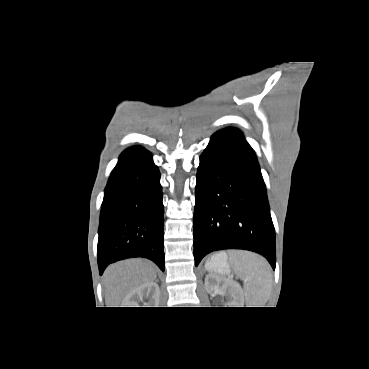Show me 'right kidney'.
I'll return each mask as SVG.
<instances>
[{
	"label": "right kidney",
	"instance_id": "obj_1",
	"mask_svg": "<svg viewBox=\"0 0 369 369\" xmlns=\"http://www.w3.org/2000/svg\"><path fill=\"white\" fill-rule=\"evenodd\" d=\"M145 295L148 302H145L143 307H157L160 298L159 285L156 282H149L135 288L125 296L121 307H139V302Z\"/></svg>",
	"mask_w": 369,
	"mask_h": 369
}]
</instances>
